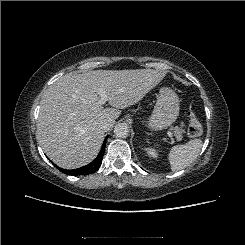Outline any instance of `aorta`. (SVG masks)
Segmentation results:
<instances>
[{
    "mask_svg": "<svg viewBox=\"0 0 245 245\" xmlns=\"http://www.w3.org/2000/svg\"><path fill=\"white\" fill-rule=\"evenodd\" d=\"M114 135L118 138H126L129 135V127L126 123H118L114 128Z\"/></svg>",
    "mask_w": 245,
    "mask_h": 245,
    "instance_id": "762f6f07",
    "label": "aorta"
}]
</instances>
